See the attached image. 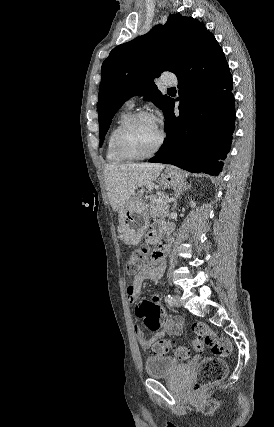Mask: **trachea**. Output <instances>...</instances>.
<instances>
[{
    "label": "trachea",
    "instance_id": "1",
    "mask_svg": "<svg viewBox=\"0 0 274 427\" xmlns=\"http://www.w3.org/2000/svg\"><path fill=\"white\" fill-rule=\"evenodd\" d=\"M168 90H176V89H175V87H171V89H168Z\"/></svg>",
    "mask_w": 274,
    "mask_h": 427
}]
</instances>
